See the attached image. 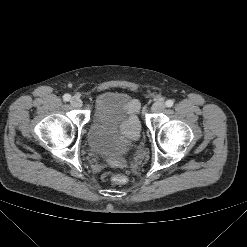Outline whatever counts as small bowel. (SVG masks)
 Here are the masks:
<instances>
[{"mask_svg": "<svg viewBox=\"0 0 247 247\" xmlns=\"http://www.w3.org/2000/svg\"><path fill=\"white\" fill-rule=\"evenodd\" d=\"M134 103H135V110H136L138 106H137V103L136 102H134Z\"/></svg>", "mask_w": 247, "mask_h": 247, "instance_id": "1", "label": "small bowel"}]
</instances>
